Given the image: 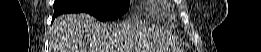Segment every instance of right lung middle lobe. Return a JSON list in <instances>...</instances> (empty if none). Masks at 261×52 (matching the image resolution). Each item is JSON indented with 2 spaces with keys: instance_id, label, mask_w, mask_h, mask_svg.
I'll list each match as a JSON object with an SVG mask.
<instances>
[{
  "instance_id": "right-lung-middle-lobe-1",
  "label": "right lung middle lobe",
  "mask_w": 261,
  "mask_h": 52,
  "mask_svg": "<svg viewBox=\"0 0 261 52\" xmlns=\"http://www.w3.org/2000/svg\"><path fill=\"white\" fill-rule=\"evenodd\" d=\"M127 0H55L56 15L70 12H86L100 21L113 20L124 14Z\"/></svg>"
}]
</instances>
